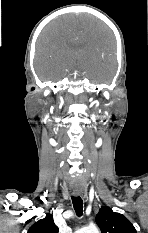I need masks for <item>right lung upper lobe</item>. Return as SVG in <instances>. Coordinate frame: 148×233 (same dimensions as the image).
<instances>
[{
  "label": "right lung upper lobe",
  "instance_id": "1",
  "mask_svg": "<svg viewBox=\"0 0 148 233\" xmlns=\"http://www.w3.org/2000/svg\"><path fill=\"white\" fill-rule=\"evenodd\" d=\"M28 233H58V227L53 221V216L48 214L30 227Z\"/></svg>",
  "mask_w": 148,
  "mask_h": 233
}]
</instances>
